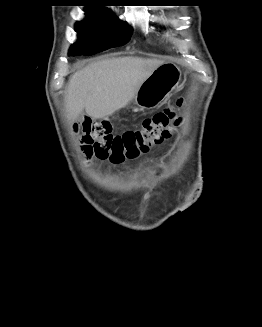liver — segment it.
<instances>
[{
	"label": "liver",
	"instance_id": "obj_1",
	"mask_svg": "<svg viewBox=\"0 0 262 327\" xmlns=\"http://www.w3.org/2000/svg\"><path fill=\"white\" fill-rule=\"evenodd\" d=\"M164 62L140 57H117L87 65L68 82L65 106L72 121L85 112L104 119L125 107L145 79Z\"/></svg>",
	"mask_w": 262,
	"mask_h": 327
}]
</instances>
